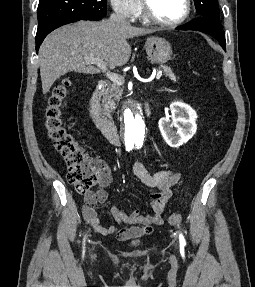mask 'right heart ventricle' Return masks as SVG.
Instances as JSON below:
<instances>
[{
  "mask_svg": "<svg viewBox=\"0 0 255 287\" xmlns=\"http://www.w3.org/2000/svg\"><path fill=\"white\" fill-rule=\"evenodd\" d=\"M127 33H145V32H127ZM135 39H149V38H135ZM153 39V38H150ZM161 48H170V47H161Z\"/></svg>",
  "mask_w": 255,
  "mask_h": 287,
  "instance_id": "1",
  "label": "right heart ventricle"
}]
</instances>
